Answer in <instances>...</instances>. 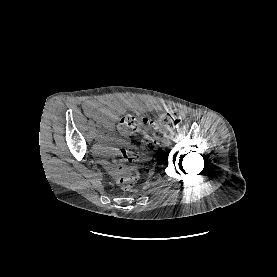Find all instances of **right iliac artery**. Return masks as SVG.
Masks as SVG:
<instances>
[{
  "instance_id": "1",
  "label": "right iliac artery",
  "mask_w": 277,
  "mask_h": 277,
  "mask_svg": "<svg viewBox=\"0 0 277 277\" xmlns=\"http://www.w3.org/2000/svg\"><path fill=\"white\" fill-rule=\"evenodd\" d=\"M94 133H95V135H100V130L99 129H95Z\"/></svg>"
}]
</instances>
